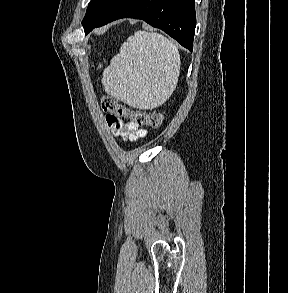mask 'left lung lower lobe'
Masks as SVG:
<instances>
[{"label": "left lung lower lobe", "instance_id": "0a47b994", "mask_svg": "<svg viewBox=\"0 0 288 293\" xmlns=\"http://www.w3.org/2000/svg\"><path fill=\"white\" fill-rule=\"evenodd\" d=\"M120 18L142 19L166 32L188 50L193 49L194 0H119L90 31Z\"/></svg>", "mask_w": 288, "mask_h": 293}]
</instances>
